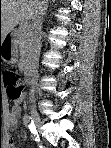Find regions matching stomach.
Masks as SVG:
<instances>
[{
  "label": "stomach",
  "instance_id": "0dacf381",
  "mask_svg": "<svg viewBox=\"0 0 111 148\" xmlns=\"http://www.w3.org/2000/svg\"><path fill=\"white\" fill-rule=\"evenodd\" d=\"M4 40L2 41V43ZM0 59L7 64H14L17 59L16 47L13 42L8 43L7 45H0Z\"/></svg>",
  "mask_w": 111,
  "mask_h": 148
}]
</instances>
